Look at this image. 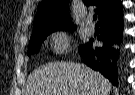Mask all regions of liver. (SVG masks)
<instances>
[{
  "label": "liver",
  "instance_id": "1",
  "mask_svg": "<svg viewBox=\"0 0 135 95\" xmlns=\"http://www.w3.org/2000/svg\"><path fill=\"white\" fill-rule=\"evenodd\" d=\"M110 82L99 72L72 62L50 63L28 77L25 95H108Z\"/></svg>",
  "mask_w": 135,
  "mask_h": 95
}]
</instances>
